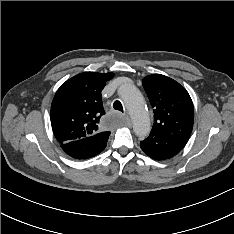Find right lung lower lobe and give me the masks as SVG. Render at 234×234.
<instances>
[{
    "instance_id": "right-lung-lower-lobe-1",
    "label": "right lung lower lobe",
    "mask_w": 234,
    "mask_h": 234,
    "mask_svg": "<svg viewBox=\"0 0 234 234\" xmlns=\"http://www.w3.org/2000/svg\"><path fill=\"white\" fill-rule=\"evenodd\" d=\"M108 137L95 135L63 143L61 148L73 158L87 159L96 156L105 149Z\"/></svg>"
}]
</instances>
